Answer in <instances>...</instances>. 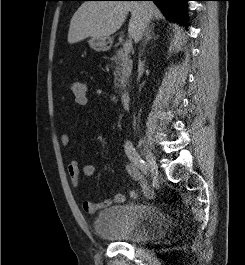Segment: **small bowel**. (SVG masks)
<instances>
[{
  "label": "small bowel",
  "instance_id": "obj_1",
  "mask_svg": "<svg viewBox=\"0 0 245 265\" xmlns=\"http://www.w3.org/2000/svg\"><path fill=\"white\" fill-rule=\"evenodd\" d=\"M93 95L96 97H105L107 93L102 88H95L93 90ZM112 100H115L114 96L110 97ZM70 142V137L67 133H63L60 136V143L63 146H67ZM66 170L68 173L69 181L73 187L80 186L81 177H90L96 171V166L93 163H86L81 168L78 165V162L75 159H70L67 163ZM126 172L138 183H140L143 192L149 198L153 197L152 191L149 189L147 181L144 175L136 168L133 164H128L126 166ZM132 199L138 197L136 190H131L129 193ZM125 195L122 193H116L112 198L105 199L102 202H94L91 200H84L82 202V209L87 214H95L100 209L107 208L112 204H122L125 202Z\"/></svg>",
  "mask_w": 245,
  "mask_h": 265
}]
</instances>
